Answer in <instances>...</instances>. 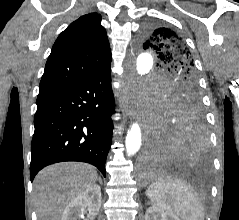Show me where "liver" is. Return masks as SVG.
Returning <instances> with one entry per match:
<instances>
[{"mask_svg":"<svg viewBox=\"0 0 239 220\" xmlns=\"http://www.w3.org/2000/svg\"><path fill=\"white\" fill-rule=\"evenodd\" d=\"M94 167L64 162L41 170L34 180V199L39 220H61L65 207L97 180Z\"/></svg>","mask_w":239,"mask_h":220,"instance_id":"1","label":"liver"}]
</instances>
